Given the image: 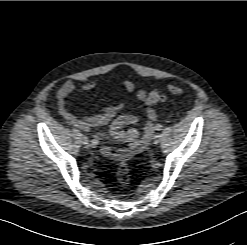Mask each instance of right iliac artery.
Segmentation results:
<instances>
[{"label": "right iliac artery", "mask_w": 247, "mask_h": 245, "mask_svg": "<svg viewBox=\"0 0 247 245\" xmlns=\"http://www.w3.org/2000/svg\"><path fill=\"white\" fill-rule=\"evenodd\" d=\"M98 144H99V139H98V136L95 135L94 139L91 141V146L96 147Z\"/></svg>", "instance_id": "right-iliac-artery-1"}]
</instances>
